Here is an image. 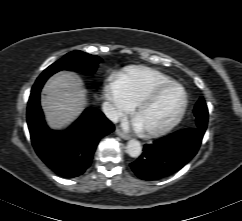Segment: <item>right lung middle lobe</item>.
Returning <instances> with one entry per match:
<instances>
[{
  "label": "right lung middle lobe",
  "mask_w": 242,
  "mask_h": 221,
  "mask_svg": "<svg viewBox=\"0 0 242 221\" xmlns=\"http://www.w3.org/2000/svg\"><path fill=\"white\" fill-rule=\"evenodd\" d=\"M101 61L99 57L82 51L70 52L45 69L37 78L32 89L41 88L52 74L60 70L82 71L85 74H93L96 71L98 63Z\"/></svg>",
  "instance_id": "right-lung-middle-lobe-1"
}]
</instances>
